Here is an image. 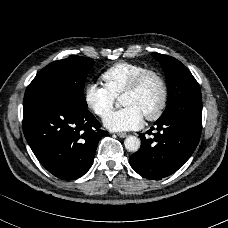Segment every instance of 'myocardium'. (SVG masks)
I'll list each match as a JSON object with an SVG mask.
<instances>
[{"mask_svg":"<svg viewBox=\"0 0 228 228\" xmlns=\"http://www.w3.org/2000/svg\"><path fill=\"white\" fill-rule=\"evenodd\" d=\"M150 76L157 78L162 87V100L159 107L153 113L144 116L146 120L155 121L163 115L169 99L168 85L165 78L160 72H158L155 69H146L142 71L133 79L129 86L124 90L123 95L138 91L144 83V81Z\"/></svg>","mask_w":228,"mask_h":228,"instance_id":"obj_1","label":"myocardium"}]
</instances>
